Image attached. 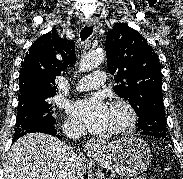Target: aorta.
<instances>
[{
  "label": "aorta",
  "mask_w": 183,
  "mask_h": 179,
  "mask_svg": "<svg viewBox=\"0 0 183 179\" xmlns=\"http://www.w3.org/2000/svg\"><path fill=\"white\" fill-rule=\"evenodd\" d=\"M105 59V54L102 51H94L84 55L79 63V70L86 72L97 68Z\"/></svg>",
  "instance_id": "762f6f07"
}]
</instances>
